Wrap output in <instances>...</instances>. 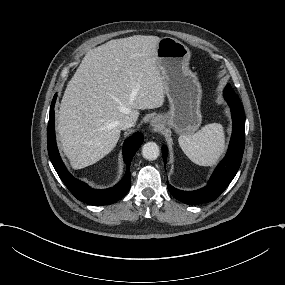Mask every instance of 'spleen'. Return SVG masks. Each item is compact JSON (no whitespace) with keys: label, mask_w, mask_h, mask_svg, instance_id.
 Here are the masks:
<instances>
[{"label":"spleen","mask_w":285,"mask_h":285,"mask_svg":"<svg viewBox=\"0 0 285 285\" xmlns=\"http://www.w3.org/2000/svg\"><path fill=\"white\" fill-rule=\"evenodd\" d=\"M184 153L198 165H212L224 150L223 130L218 123H206L199 130L182 133Z\"/></svg>","instance_id":"spleen-1"}]
</instances>
